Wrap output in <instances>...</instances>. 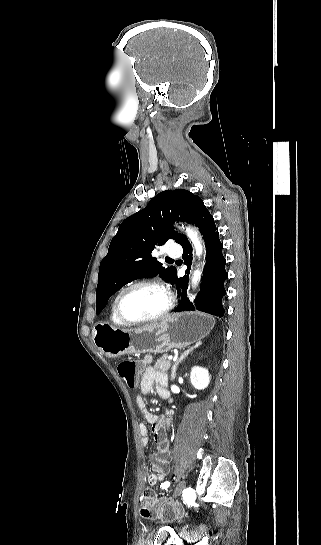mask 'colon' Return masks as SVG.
<instances>
[{
    "label": "colon",
    "instance_id": "5ec220e1",
    "mask_svg": "<svg viewBox=\"0 0 321 545\" xmlns=\"http://www.w3.org/2000/svg\"><path fill=\"white\" fill-rule=\"evenodd\" d=\"M118 373L129 388L136 386L137 364L133 360H123L118 364ZM141 515L148 519L170 521L177 516V508L159 498L152 489L144 490L140 498Z\"/></svg>",
    "mask_w": 321,
    "mask_h": 545
}]
</instances>
